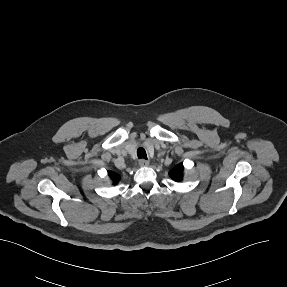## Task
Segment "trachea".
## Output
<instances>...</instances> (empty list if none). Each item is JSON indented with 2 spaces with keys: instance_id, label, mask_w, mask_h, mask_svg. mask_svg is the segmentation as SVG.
I'll list each match as a JSON object with an SVG mask.
<instances>
[{
  "instance_id": "obj_1",
  "label": "trachea",
  "mask_w": 287,
  "mask_h": 287,
  "mask_svg": "<svg viewBox=\"0 0 287 287\" xmlns=\"http://www.w3.org/2000/svg\"><path fill=\"white\" fill-rule=\"evenodd\" d=\"M137 156L141 159H147V154L144 148L140 147L137 149Z\"/></svg>"
}]
</instances>
